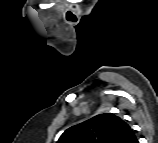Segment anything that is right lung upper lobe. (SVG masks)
Instances as JSON below:
<instances>
[{"mask_svg":"<svg viewBox=\"0 0 158 143\" xmlns=\"http://www.w3.org/2000/svg\"><path fill=\"white\" fill-rule=\"evenodd\" d=\"M57 143H137V138L120 117L103 113L70 127Z\"/></svg>","mask_w":158,"mask_h":143,"instance_id":"cb5924a9","label":"right lung upper lobe"}]
</instances>
